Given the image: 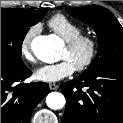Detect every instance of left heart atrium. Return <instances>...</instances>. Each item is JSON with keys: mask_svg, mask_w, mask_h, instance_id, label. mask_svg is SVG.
Masks as SVG:
<instances>
[{"mask_svg": "<svg viewBox=\"0 0 123 123\" xmlns=\"http://www.w3.org/2000/svg\"><path fill=\"white\" fill-rule=\"evenodd\" d=\"M75 71L74 65L67 59L55 64H47L35 71V78L42 82H57L70 76Z\"/></svg>", "mask_w": 123, "mask_h": 123, "instance_id": "1", "label": "left heart atrium"}]
</instances>
